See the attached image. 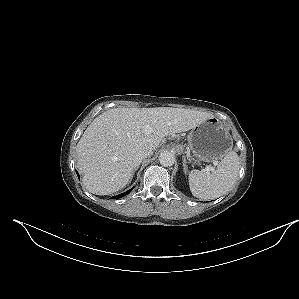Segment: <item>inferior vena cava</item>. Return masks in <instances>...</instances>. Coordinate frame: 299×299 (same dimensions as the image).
<instances>
[{
	"mask_svg": "<svg viewBox=\"0 0 299 299\" xmlns=\"http://www.w3.org/2000/svg\"><path fill=\"white\" fill-rule=\"evenodd\" d=\"M153 154L151 149H143L139 150L138 152L135 153L133 157V164L135 167L140 165L141 161L147 157H150Z\"/></svg>",
	"mask_w": 299,
	"mask_h": 299,
	"instance_id": "obj_1",
	"label": "inferior vena cava"
}]
</instances>
